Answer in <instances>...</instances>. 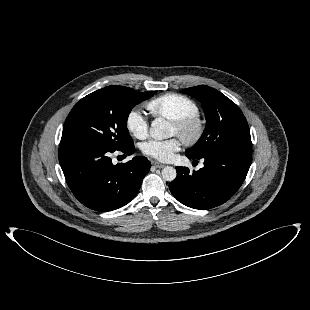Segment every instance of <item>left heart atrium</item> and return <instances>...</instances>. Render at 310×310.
<instances>
[{"label": "left heart atrium", "mask_w": 310, "mask_h": 310, "mask_svg": "<svg viewBox=\"0 0 310 310\" xmlns=\"http://www.w3.org/2000/svg\"><path fill=\"white\" fill-rule=\"evenodd\" d=\"M181 142L178 138L166 140L152 139L142 145V152L159 161L168 162L174 158L177 151L180 150Z\"/></svg>", "instance_id": "39dd6f15"}]
</instances>
